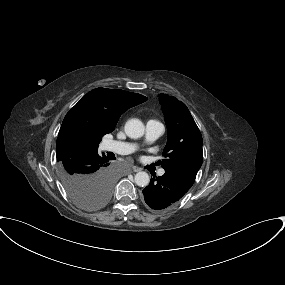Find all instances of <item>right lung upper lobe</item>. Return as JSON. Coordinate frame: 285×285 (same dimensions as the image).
I'll return each instance as SVG.
<instances>
[{"instance_id":"right-lung-upper-lobe-1","label":"right lung upper lobe","mask_w":285,"mask_h":285,"mask_svg":"<svg viewBox=\"0 0 285 285\" xmlns=\"http://www.w3.org/2000/svg\"><path fill=\"white\" fill-rule=\"evenodd\" d=\"M147 97L119 89L96 88L87 93L65 116L57 142V161L98 150L105 134L112 132L119 117Z\"/></svg>"}]
</instances>
